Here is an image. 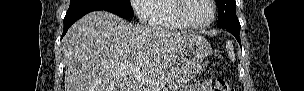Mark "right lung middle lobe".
<instances>
[{
	"mask_svg": "<svg viewBox=\"0 0 304 91\" xmlns=\"http://www.w3.org/2000/svg\"><path fill=\"white\" fill-rule=\"evenodd\" d=\"M91 1L110 6L114 14L118 15L119 17L128 19L134 16L133 9L130 4V0H91Z\"/></svg>",
	"mask_w": 304,
	"mask_h": 91,
	"instance_id": "obj_1",
	"label": "right lung middle lobe"
}]
</instances>
